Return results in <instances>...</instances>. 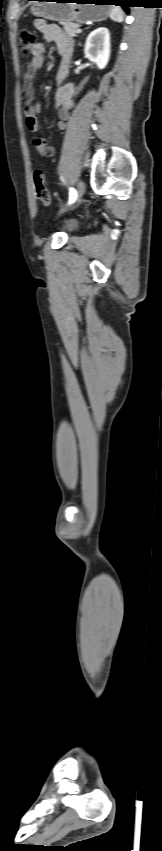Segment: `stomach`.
Wrapping results in <instances>:
<instances>
[{
  "label": "stomach",
  "mask_w": 162,
  "mask_h": 851,
  "mask_svg": "<svg viewBox=\"0 0 162 851\" xmlns=\"http://www.w3.org/2000/svg\"><path fill=\"white\" fill-rule=\"evenodd\" d=\"M39 1L41 2H34L30 9L34 16L62 23L76 22L82 24L88 21H103L110 15L111 10L110 6L101 5L102 3L99 0Z\"/></svg>",
  "instance_id": "obj_1"
}]
</instances>
